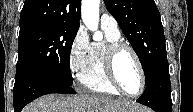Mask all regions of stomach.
Masks as SVG:
<instances>
[{"mask_svg":"<svg viewBox=\"0 0 193 112\" xmlns=\"http://www.w3.org/2000/svg\"><path fill=\"white\" fill-rule=\"evenodd\" d=\"M136 112H143V110H139V111H136Z\"/></svg>","mask_w":193,"mask_h":112,"instance_id":"stomach-1","label":"stomach"}]
</instances>
